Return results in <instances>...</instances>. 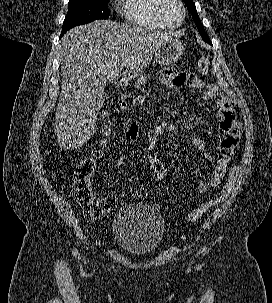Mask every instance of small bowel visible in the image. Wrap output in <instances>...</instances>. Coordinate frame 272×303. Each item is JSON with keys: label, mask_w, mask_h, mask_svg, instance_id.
I'll return each instance as SVG.
<instances>
[{"label": "small bowel", "mask_w": 272, "mask_h": 303, "mask_svg": "<svg viewBox=\"0 0 272 303\" xmlns=\"http://www.w3.org/2000/svg\"><path fill=\"white\" fill-rule=\"evenodd\" d=\"M163 84L172 87L186 85L190 88L202 90L204 99H215L218 111L219 122V152L216 156L209 153L204 154L206 160H214L215 164L209 180L197 179L195 181L197 189L201 193H206L209 189L216 187L223 179L230 158L239 142L241 136V126L237 119L231 100L223 94L218 85L205 83L193 74L178 72L173 69H166L161 73ZM136 130L127 134L128 140H133ZM192 147L197 151H204L206 142L203 139H194Z\"/></svg>", "instance_id": "c3829d8e"}]
</instances>
